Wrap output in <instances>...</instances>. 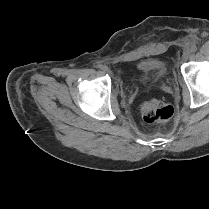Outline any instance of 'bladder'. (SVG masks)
<instances>
[{"label": "bladder", "instance_id": "bladder-1", "mask_svg": "<svg viewBox=\"0 0 209 209\" xmlns=\"http://www.w3.org/2000/svg\"><path fill=\"white\" fill-rule=\"evenodd\" d=\"M136 68L142 73L144 81H156L162 79L166 74L165 64L154 58L140 60L137 63Z\"/></svg>", "mask_w": 209, "mask_h": 209}]
</instances>
